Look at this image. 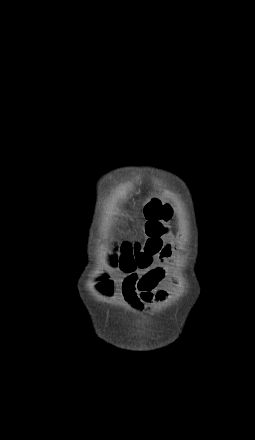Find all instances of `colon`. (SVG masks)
Wrapping results in <instances>:
<instances>
[{"instance_id":"obj_1","label":"colon","mask_w":255,"mask_h":440,"mask_svg":"<svg viewBox=\"0 0 255 440\" xmlns=\"http://www.w3.org/2000/svg\"><path fill=\"white\" fill-rule=\"evenodd\" d=\"M144 238L137 242H124L119 246L120 257L114 263L124 272L145 268L154 256H162V237L169 232L167 223L172 219L170 205L158 197H153L144 207ZM106 284L103 285L105 292Z\"/></svg>"}]
</instances>
